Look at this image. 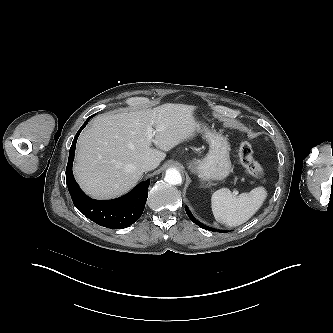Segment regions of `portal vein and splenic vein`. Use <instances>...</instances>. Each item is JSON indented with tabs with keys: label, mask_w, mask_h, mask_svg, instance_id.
<instances>
[{
	"label": "portal vein and splenic vein",
	"mask_w": 333,
	"mask_h": 333,
	"mask_svg": "<svg viewBox=\"0 0 333 333\" xmlns=\"http://www.w3.org/2000/svg\"><path fill=\"white\" fill-rule=\"evenodd\" d=\"M154 137V130L152 127H148L147 129V139L152 140Z\"/></svg>",
	"instance_id": "1"
}]
</instances>
